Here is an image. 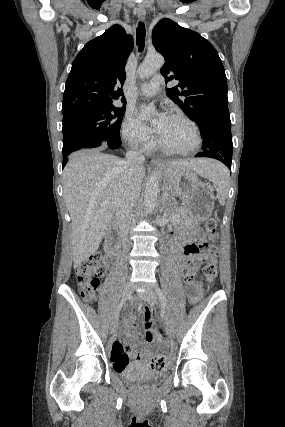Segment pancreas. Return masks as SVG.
Returning a JSON list of instances; mask_svg holds the SVG:
<instances>
[{
    "instance_id": "pancreas-1",
    "label": "pancreas",
    "mask_w": 285,
    "mask_h": 427,
    "mask_svg": "<svg viewBox=\"0 0 285 427\" xmlns=\"http://www.w3.org/2000/svg\"><path fill=\"white\" fill-rule=\"evenodd\" d=\"M170 219L173 222H180L183 219H187V213L185 208H170L169 209Z\"/></svg>"
}]
</instances>
